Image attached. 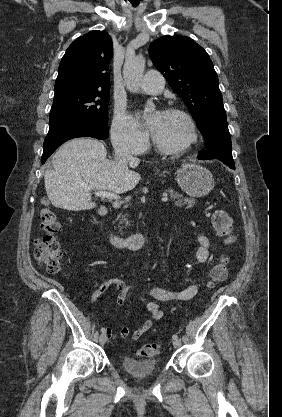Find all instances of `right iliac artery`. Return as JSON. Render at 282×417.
<instances>
[{
  "mask_svg": "<svg viewBox=\"0 0 282 417\" xmlns=\"http://www.w3.org/2000/svg\"><path fill=\"white\" fill-rule=\"evenodd\" d=\"M101 332L102 333H105V328H101Z\"/></svg>",
  "mask_w": 282,
  "mask_h": 417,
  "instance_id": "1",
  "label": "right iliac artery"
}]
</instances>
